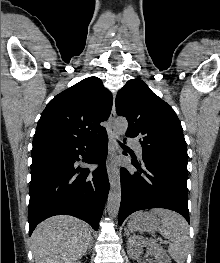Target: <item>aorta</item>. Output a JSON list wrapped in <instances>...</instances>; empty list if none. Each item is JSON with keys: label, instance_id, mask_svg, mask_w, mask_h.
I'll return each instance as SVG.
<instances>
[{"label": "aorta", "instance_id": "762f6f07", "mask_svg": "<svg viewBox=\"0 0 220 263\" xmlns=\"http://www.w3.org/2000/svg\"><path fill=\"white\" fill-rule=\"evenodd\" d=\"M128 127V122L125 118H118L113 123V130L117 137L125 134ZM121 202V183H120V170L115 172L112 180L110 191L108 195L107 211L111 217H116L119 213Z\"/></svg>", "mask_w": 220, "mask_h": 263}]
</instances>
